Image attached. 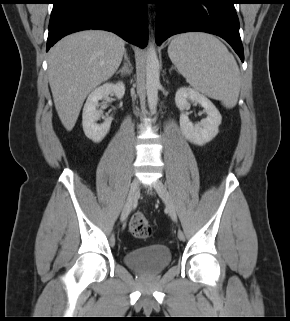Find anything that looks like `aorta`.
<instances>
[{"mask_svg":"<svg viewBox=\"0 0 290 321\" xmlns=\"http://www.w3.org/2000/svg\"><path fill=\"white\" fill-rule=\"evenodd\" d=\"M160 87V66L154 43H149L146 57V91L148 106L154 111L158 102V89Z\"/></svg>","mask_w":290,"mask_h":321,"instance_id":"aorta-1","label":"aorta"}]
</instances>
